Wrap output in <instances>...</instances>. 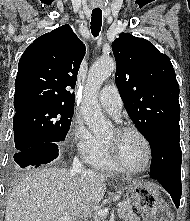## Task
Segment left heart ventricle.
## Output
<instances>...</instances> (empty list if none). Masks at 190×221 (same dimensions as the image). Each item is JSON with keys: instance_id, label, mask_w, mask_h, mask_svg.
<instances>
[{"instance_id": "left-heart-ventricle-1", "label": "left heart ventricle", "mask_w": 190, "mask_h": 221, "mask_svg": "<svg viewBox=\"0 0 190 221\" xmlns=\"http://www.w3.org/2000/svg\"><path fill=\"white\" fill-rule=\"evenodd\" d=\"M104 140L116 145L119 157L126 167L140 169L144 166L147 158L146 147L141 138L135 133L117 134L112 129Z\"/></svg>"}]
</instances>
